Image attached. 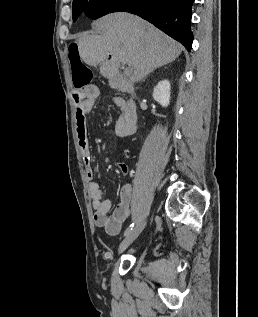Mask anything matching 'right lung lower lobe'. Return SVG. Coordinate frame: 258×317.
I'll return each instance as SVG.
<instances>
[{
  "instance_id": "1",
  "label": "right lung lower lobe",
  "mask_w": 258,
  "mask_h": 317,
  "mask_svg": "<svg viewBox=\"0 0 258 317\" xmlns=\"http://www.w3.org/2000/svg\"><path fill=\"white\" fill-rule=\"evenodd\" d=\"M194 0H118L113 12H130L149 21L157 28L191 49V6ZM92 18L89 9L83 11Z\"/></svg>"
}]
</instances>
